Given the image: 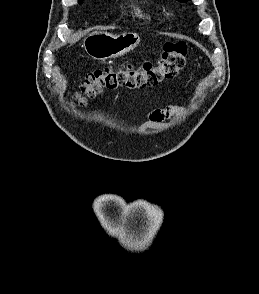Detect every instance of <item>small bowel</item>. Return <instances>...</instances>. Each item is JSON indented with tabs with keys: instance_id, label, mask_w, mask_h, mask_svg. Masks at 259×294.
Segmentation results:
<instances>
[{
	"instance_id": "1",
	"label": "small bowel",
	"mask_w": 259,
	"mask_h": 294,
	"mask_svg": "<svg viewBox=\"0 0 259 294\" xmlns=\"http://www.w3.org/2000/svg\"><path fill=\"white\" fill-rule=\"evenodd\" d=\"M186 111L187 109L181 106H167L163 109L152 110L151 112H149L148 118L151 122L161 123L172 116L182 115ZM140 131L142 132L143 129H141Z\"/></svg>"
}]
</instances>
